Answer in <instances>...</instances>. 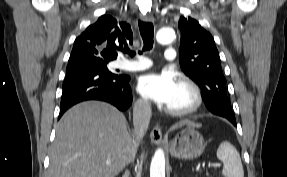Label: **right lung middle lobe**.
<instances>
[{
	"instance_id": "dd1d6c3e",
	"label": "right lung middle lobe",
	"mask_w": 287,
	"mask_h": 177,
	"mask_svg": "<svg viewBox=\"0 0 287 177\" xmlns=\"http://www.w3.org/2000/svg\"><path fill=\"white\" fill-rule=\"evenodd\" d=\"M111 60L103 59L97 56H86L68 62L66 72L80 68L93 67L101 69L104 72H110L107 68V63Z\"/></svg>"
}]
</instances>
